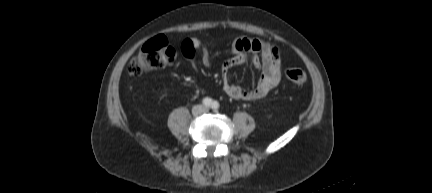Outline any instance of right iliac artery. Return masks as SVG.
Returning <instances> with one entry per match:
<instances>
[{
  "label": "right iliac artery",
  "instance_id": "82829eb1",
  "mask_svg": "<svg viewBox=\"0 0 432 193\" xmlns=\"http://www.w3.org/2000/svg\"><path fill=\"white\" fill-rule=\"evenodd\" d=\"M202 102H203V105L206 107H210L212 105V99H210L208 97L204 98Z\"/></svg>",
  "mask_w": 432,
  "mask_h": 193
}]
</instances>
